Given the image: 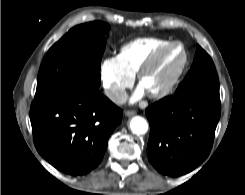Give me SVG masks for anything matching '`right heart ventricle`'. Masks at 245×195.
Returning a JSON list of instances; mask_svg holds the SVG:
<instances>
[{"mask_svg": "<svg viewBox=\"0 0 245 195\" xmlns=\"http://www.w3.org/2000/svg\"><path fill=\"white\" fill-rule=\"evenodd\" d=\"M169 42L162 38H138L123 45L116 57L122 68L134 76L142 63L154 51Z\"/></svg>", "mask_w": 245, "mask_h": 195, "instance_id": "right-heart-ventricle-1", "label": "right heart ventricle"}]
</instances>
